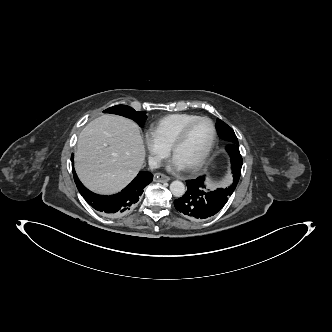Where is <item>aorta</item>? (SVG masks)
<instances>
[{
	"label": "aorta",
	"instance_id": "obj_1",
	"mask_svg": "<svg viewBox=\"0 0 332 332\" xmlns=\"http://www.w3.org/2000/svg\"><path fill=\"white\" fill-rule=\"evenodd\" d=\"M170 191L173 196L182 197L186 192L185 185L181 181L175 180L170 184Z\"/></svg>",
	"mask_w": 332,
	"mask_h": 332
}]
</instances>
